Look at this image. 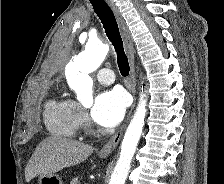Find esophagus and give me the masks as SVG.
I'll return each mask as SVG.
<instances>
[{
  "instance_id": "34e87169",
  "label": "esophagus",
  "mask_w": 224,
  "mask_h": 184,
  "mask_svg": "<svg viewBox=\"0 0 224 184\" xmlns=\"http://www.w3.org/2000/svg\"><path fill=\"white\" fill-rule=\"evenodd\" d=\"M108 5L110 6V8L112 9L120 32H121V36L126 48V52H127V56H128V60H129V66H130V84H129V90L132 93L133 97H134V102L131 106V109L124 121V123L118 128V130L116 131V133L110 138V140L101 148L99 154L102 156H106L109 155L118 145L125 129L126 126L128 124V121L131 117V113L133 111V108L135 106V93H136V76H135V66H134V46H133V40L131 37V33L125 23V20L123 19L119 8L115 5V3L112 0H106Z\"/></svg>"
}]
</instances>
